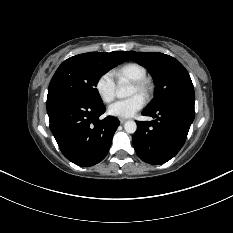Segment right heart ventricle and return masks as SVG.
<instances>
[{
    "label": "right heart ventricle",
    "mask_w": 233,
    "mask_h": 233,
    "mask_svg": "<svg viewBox=\"0 0 233 233\" xmlns=\"http://www.w3.org/2000/svg\"><path fill=\"white\" fill-rule=\"evenodd\" d=\"M113 75L119 80H127L130 82L144 79L147 77L146 68L137 62H129L123 64L113 71Z\"/></svg>",
    "instance_id": "1"
}]
</instances>
